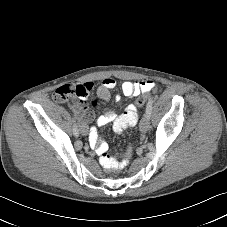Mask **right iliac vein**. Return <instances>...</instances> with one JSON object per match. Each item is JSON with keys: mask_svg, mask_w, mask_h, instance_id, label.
Wrapping results in <instances>:
<instances>
[{"mask_svg": "<svg viewBox=\"0 0 227 227\" xmlns=\"http://www.w3.org/2000/svg\"><path fill=\"white\" fill-rule=\"evenodd\" d=\"M81 133H82L83 135H87V130H86V129H81Z\"/></svg>", "mask_w": 227, "mask_h": 227, "instance_id": "1", "label": "right iliac vein"}]
</instances>
